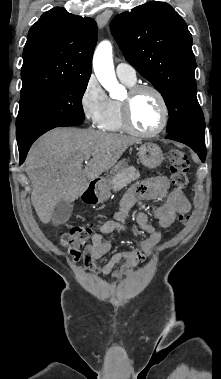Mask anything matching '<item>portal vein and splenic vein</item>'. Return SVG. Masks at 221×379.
<instances>
[{
  "label": "portal vein and splenic vein",
  "instance_id": "18ae733b",
  "mask_svg": "<svg viewBox=\"0 0 221 379\" xmlns=\"http://www.w3.org/2000/svg\"><path fill=\"white\" fill-rule=\"evenodd\" d=\"M87 161H88V158L85 160V163H87Z\"/></svg>",
  "mask_w": 221,
  "mask_h": 379
}]
</instances>
